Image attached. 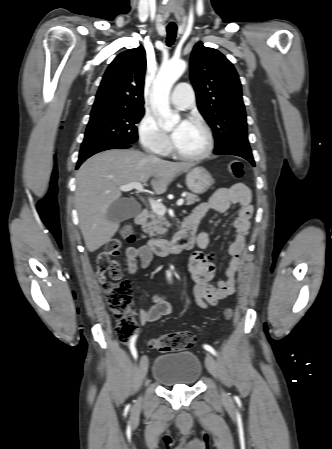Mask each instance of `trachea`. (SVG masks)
I'll return each instance as SVG.
<instances>
[{
	"label": "trachea",
	"instance_id": "obj_1",
	"mask_svg": "<svg viewBox=\"0 0 332 449\" xmlns=\"http://www.w3.org/2000/svg\"><path fill=\"white\" fill-rule=\"evenodd\" d=\"M167 39L166 44L167 46H172L174 44L176 33H177V27L175 25L173 26H167Z\"/></svg>",
	"mask_w": 332,
	"mask_h": 449
}]
</instances>
